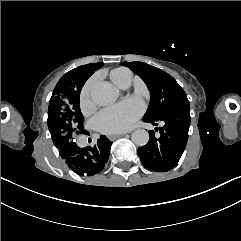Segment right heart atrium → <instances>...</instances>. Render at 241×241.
<instances>
[{"label": "right heart atrium", "instance_id": "obj_1", "mask_svg": "<svg viewBox=\"0 0 241 241\" xmlns=\"http://www.w3.org/2000/svg\"><path fill=\"white\" fill-rule=\"evenodd\" d=\"M79 104L81 111L85 114H89L93 110L94 105L89 97V91L87 89L81 92Z\"/></svg>", "mask_w": 241, "mask_h": 241}]
</instances>
